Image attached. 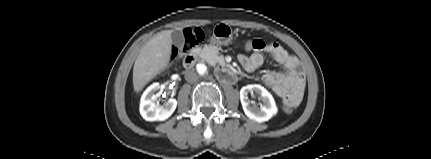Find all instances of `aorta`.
<instances>
[{
  "label": "aorta",
  "mask_w": 431,
  "mask_h": 159,
  "mask_svg": "<svg viewBox=\"0 0 431 159\" xmlns=\"http://www.w3.org/2000/svg\"><path fill=\"white\" fill-rule=\"evenodd\" d=\"M196 69L201 76H206L209 72L208 65L202 62L197 64Z\"/></svg>",
  "instance_id": "obj_1"
}]
</instances>
